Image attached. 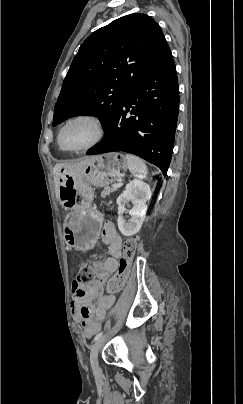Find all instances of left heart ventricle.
Wrapping results in <instances>:
<instances>
[{
    "label": "left heart ventricle",
    "instance_id": "left-heart-ventricle-1",
    "mask_svg": "<svg viewBox=\"0 0 243 404\" xmlns=\"http://www.w3.org/2000/svg\"><path fill=\"white\" fill-rule=\"evenodd\" d=\"M97 128L89 119H76L70 122L63 130L61 136L62 145L70 149L83 148L94 141Z\"/></svg>",
    "mask_w": 243,
    "mask_h": 404
}]
</instances>
